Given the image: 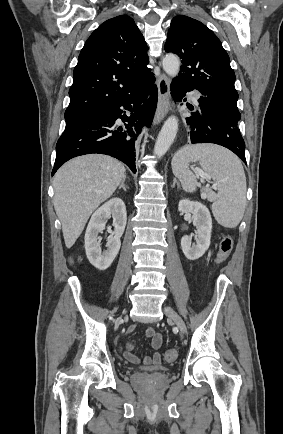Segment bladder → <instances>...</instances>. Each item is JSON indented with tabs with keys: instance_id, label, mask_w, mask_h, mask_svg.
<instances>
[{
	"instance_id": "31cf9c89",
	"label": "bladder",
	"mask_w": 283,
	"mask_h": 434,
	"mask_svg": "<svg viewBox=\"0 0 283 434\" xmlns=\"http://www.w3.org/2000/svg\"><path fill=\"white\" fill-rule=\"evenodd\" d=\"M158 371H160V370H158V369L151 370V372H158Z\"/></svg>"
}]
</instances>
